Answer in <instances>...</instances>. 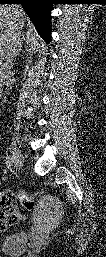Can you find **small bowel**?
<instances>
[{
    "label": "small bowel",
    "mask_w": 106,
    "mask_h": 257,
    "mask_svg": "<svg viewBox=\"0 0 106 257\" xmlns=\"http://www.w3.org/2000/svg\"><path fill=\"white\" fill-rule=\"evenodd\" d=\"M0 206V228L2 230L5 229L6 226L14 224L18 219L23 217L17 210L11 194L1 195Z\"/></svg>",
    "instance_id": "c3829d8e"
}]
</instances>
